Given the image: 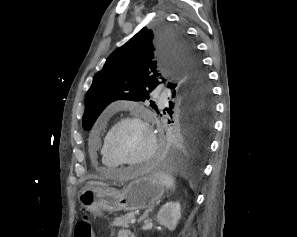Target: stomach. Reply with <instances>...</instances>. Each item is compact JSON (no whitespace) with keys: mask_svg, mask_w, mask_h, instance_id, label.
Masks as SVG:
<instances>
[{"mask_svg":"<svg viewBox=\"0 0 297 237\" xmlns=\"http://www.w3.org/2000/svg\"><path fill=\"white\" fill-rule=\"evenodd\" d=\"M166 188L156 175H148L132 180L122 190L88 185L80 191L78 199L92 213L134 211L153 207Z\"/></svg>","mask_w":297,"mask_h":237,"instance_id":"0dacf381","label":"stomach"}]
</instances>
